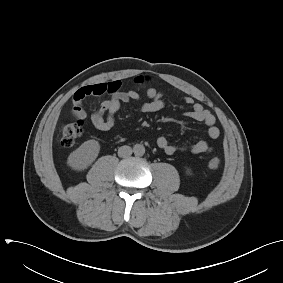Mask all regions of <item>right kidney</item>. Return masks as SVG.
<instances>
[{
    "label": "right kidney",
    "instance_id": "right-kidney-1",
    "mask_svg": "<svg viewBox=\"0 0 283 283\" xmlns=\"http://www.w3.org/2000/svg\"><path fill=\"white\" fill-rule=\"evenodd\" d=\"M100 145L96 140H88L68 157V165L74 170L86 169L98 156Z\"/></svg>",
    "mask_w": 283,
    "mask_h": 283
}]
</instances>
